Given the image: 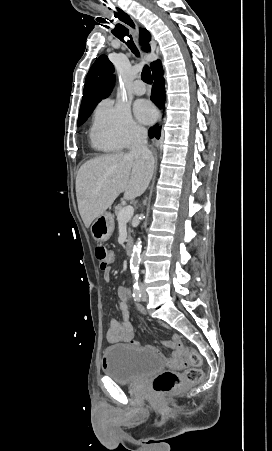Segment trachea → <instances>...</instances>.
<instances>
[{
	"label": "trachea",
	"instance_id": "3493384b",
	"mask_svg": "<svg viewBox=\"0 0 272 451\" xmlns=\"http://www.w3.org/2000/svg\"><path fill=\"white\" fill-rule=\"evenodd\" d=\"M126 20L127 19H121V21H124L125 23H128L130 25L132 24V21L130 19L128 21H126ZM113 34L122 41H124V37H127L126 44L128 45V47L132 50V52L135 55H137V56L139 55V52L132 40V36L129 35V30L126 27L118 24L117 30L115 32H113ZM141 78L146 83H152V76H151L150 68L148 66H145L144 69L142 70Z\"/></svg>",
	"mask_w": 272,
	"mask_h": 451
}]
</instances>
